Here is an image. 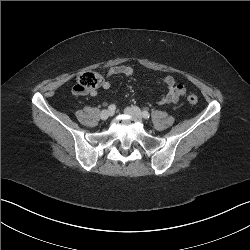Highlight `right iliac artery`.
I'll return each mask as SVG.
<instances>
[{"label":"right iliac artery","mask_w":250,"mask_h":250,"mask_svg":"<svg viewBox=\"0 0 250 250\" xmlns=\"http://www.w3.org/2000/svg\"><path fill=\"white\" fill-rule=\"evenodd\" d=\"M108 109H109L110 111H114V110L116 109V106H115L114 104H112V105H110V106L108 107Z\"/></svg>","instance_id":"1"}]
</instances>
